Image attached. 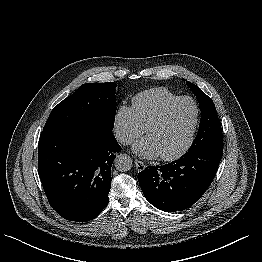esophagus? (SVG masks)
Returning a JSON list of instances; mask_svg holds the SVG:
<instances>
[{"instance_id":"obj_1","label":"esophagus","mask_w":262,"mask_h":262,"mask_svg":"<svg viewBox=\"0 0 262 262\" xmlns=\"http://www.w3.org/2000/svg\"><path fill=\"white\" fill-rule=\"evenodd\" d=\"M134 162L137 171H143L146 168V165L142 161L135 159Z\"/></svg>"}]
</instances>
